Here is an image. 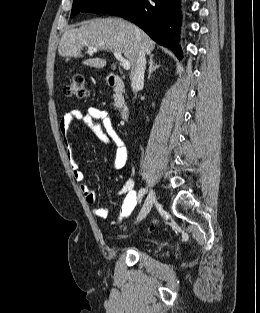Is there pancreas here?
Segmentation results:
<instances>
[{"label": "pancreas", "mask_w": 260, "mask_h": 313, "mask_svg": "<svg viewBox=\"0 0 260 313\" xmlns=\"http://www.w3.org/2000/svg\"><path fill=\"white\" fill-rule=\"evenodd\" d=\"M116 98V96H114ZM114 106H118L117 103L114 104Z\"/></svg>", "instance_id": "cf45deb5"}]
</instances>
